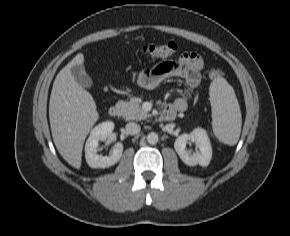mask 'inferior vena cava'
Listing matches in <instances>:
<instances>
[{"instance_id": "inferior-vena-cava-1", "label": "inferior vena cava", "mask_w": 290, "mask_h": 236, "mask_svg": "<svg viewBox=\"0 0 290 236\" xmlns=\"http://www.w3.org/2000/svg\"><path fill=\"white\" fill-rule=\"evenodd\" d=\"M125 128H126L127 133H129L130 135L138 134L141 129L140 125L135 122L127 123Z\"/></svg>"}]
</instances>
